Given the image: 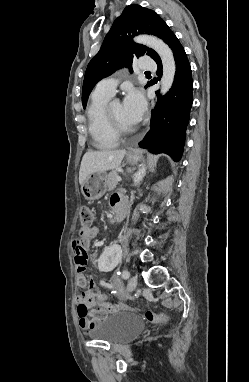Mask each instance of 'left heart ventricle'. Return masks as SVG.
<instances>
[{"label": "left heart ventricle", "mask_w": 249, "mask_h": 382, "mask_svg": "<svg viewBox=\"0 0 249 382\" xmlns=\"http://www.w3.org/2000/svg\"><path fill=\"white\" fill-rule=\"evenodd\" d=\"M111 113L114 119L124 128L132 129L135 128V124L129 121L123 111L122 104L115 102L111 105Z\"/></svg>", "instance_id": "1"}]
</instances>
